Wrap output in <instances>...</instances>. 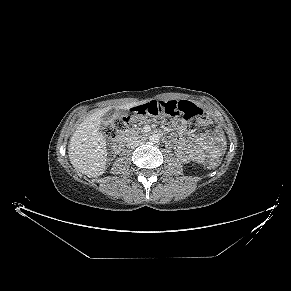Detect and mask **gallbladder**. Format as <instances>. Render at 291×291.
Segmentation results:
<instances>
[{"label": "gallbladder", "mask_w": 291, "mask_h": 291, "mask_svg": "<svg viewBox=\"0 0 291 291\" xmlns=\"http://www.w3.org/2000/svg\"><path fill=\"white\" fill-rule=\"evenodd\" d=\"M117 111L114 109H110L108 112H106L102 117V123L104 125H109L113 122V120L117 117Z\"/></svg>", "instance_id": "1"}]
</instances>
